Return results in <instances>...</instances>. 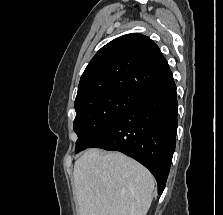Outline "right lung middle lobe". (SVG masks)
I'll return each instance as SVG.
<instances>
[{
	"label": "right lung middle lobe",
	"instance_id": "obj_1",
	"mask_svg": "<svg viewBox=\"0 0 223 215\" xmlns=\"http://www.w3.org/2000/svg\"><path fill=\"white\" fill-rule=\"evenodd\" d=\"M139 97L129 90H114L75 106L73 128L78 136L75 153L90 148Z\"/></svg>",
	"mask_w": 223,
	"mask_h": 215
}]
</instances>
